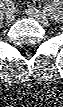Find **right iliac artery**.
<instances>
[{"label": "right iliac artery", "instance_id": "obj_1", "mask_svg": "<svg viewBox=\"0 0 63 107\" xmlns=\"http://www.w3.org/2000/svg\"><path fill=\"white\" fill-rule=\"evenodd\" d=\"M6 6L8 7V9L11 11L12 10V1L11 0H6L5 1Z\"/></svg>", "mask_w": 63, "mask_h": 107}]
</instances>
